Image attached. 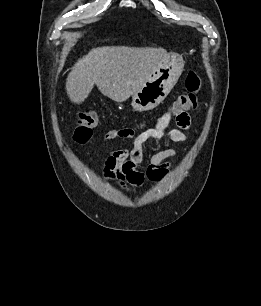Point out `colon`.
<instances>
[{
  "mask_svg": "<svg viewBox=\"0 0 261 306\" xmlns=\"http://www.w3.org/2000/svg\"><path fill=\"white\" fill-rule=\"evenodd\" d=\"M187 92L181 94L173 104V112L176 116L195 109L198 104L199 93L202 89V80L195 72H189L186 77ZM98 125V114L93 110L83 111L79 114L78 122L74 130L73 138L79 144H86L92 138ZM132 135V131L128 130Z\"/></svg>",
  "mask_w": 261,
  "mask_h": 306,
  "instance_id": "colon-1",
  "label": "colon"
}]
</instances>
